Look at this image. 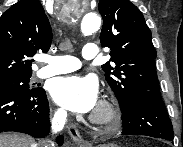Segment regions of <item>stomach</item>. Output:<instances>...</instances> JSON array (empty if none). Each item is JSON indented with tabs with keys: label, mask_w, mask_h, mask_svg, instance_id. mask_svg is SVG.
Segmentation results:
<instances>
[{
	"label": "stomach",
	"mask_w": 183,
	"mask_h": 147,
	"mask_svg": "<svg viewBox=\"0 0 183 147\" xmlns=\"http://www.w3.org/2000/svg\"><path fill=\"white\" fill-rule=\"evenodd\" d=\"M98 147H118L116 144H113V143H108V144H102Z\"/></svg>",
	"instance_id": "1"
}]
</instances>
